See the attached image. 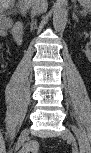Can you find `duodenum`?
<instances>
[{"instance_id":"1","label":"duodenum","mask_w":91,"mask_h":153,"mask_svg":"<svg viewBox=\"0 0 91 153\" xmlns=\"http://www.w3.org/2000/svg\"><path fill=\"white\" fill-rule=\"evenodd\" d=\"M23 32H24V25H23V22L19 20L14 24L12 28L13 38L15 42L17 43V45L19 46H21L24 42Z\"/></svg>"}]
</instances>
